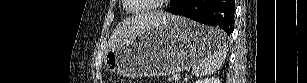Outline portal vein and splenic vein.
<instances>
[{
    "label": "portal vein and splenic vein",
    "mask_w": 307,
    "mask_h": 83,
    "mask_svg": "<svg viewBox=\"0 0 307 83\" xmlns=\"http://www.w3.org/2000/svg\"><path fill=\"white\" fill-rule=\"evenodd\" d=\"M173 78H174L175 80H179V79H180V75L176 74V75L173 76Z\"/></svg>",
    "instance_id": "18ae733b"
}]
</instances>
